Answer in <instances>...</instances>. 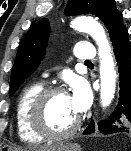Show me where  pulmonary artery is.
I'll list each match as a JSON object with an SVG mask.
<instances>
[{
    "label": "pulmonary artery",
    "mask_w": 131,
    "mask_h": 151,
    "mask_svg": "<svg viewBox=\"0 0 131 151\" xmlns=\"http://www.w3.org/2000/svg\"><path fill=\"white\" fill-rule=\"evenodd\" d=\"M74 56L82 62L92 61L95 59L96 52L94 46L90 42H78L73 49Z\"/></svg>",
    "instance_id": "1"
}]
</instances>
